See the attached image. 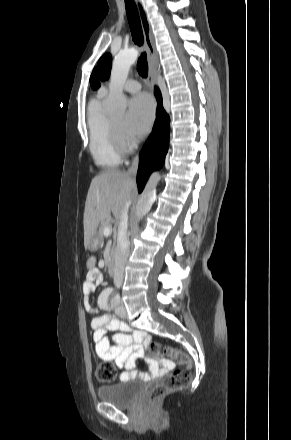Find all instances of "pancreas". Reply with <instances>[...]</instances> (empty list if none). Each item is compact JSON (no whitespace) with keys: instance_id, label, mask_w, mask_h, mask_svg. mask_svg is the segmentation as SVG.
<instances>
[{"instance_id":"obj_1","label":"pancreas","mask_w":291,"mask_h":440,"mask_svg":"<svg viewBox=\"0 0 291 440\" xmlns=\"http://www.w3.org/2000/svg\"><path fill=\"white\" fill-rule=\"evenodd\" d=\"M106 226H111V221H110V217H107L105 220L100 222V226H99V231H98V235L100 237V239H103L104 237V229Z\"/></svg>"}]
</instances>
